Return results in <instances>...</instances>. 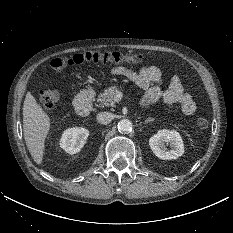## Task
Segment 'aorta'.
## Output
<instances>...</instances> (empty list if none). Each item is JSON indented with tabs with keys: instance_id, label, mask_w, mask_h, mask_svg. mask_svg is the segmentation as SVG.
<instances>
[{
	"instance_id": "762f6f07",
	"label": "aorta",
	"mask_w": 233,
	"mask_h": 233,
	"mask_svg": "<svg viewBox=\"0 0 233 233\" xmlns=\"http://www.w3.org/2000/svg\"><path fill=\"white\" fill-rule=\"evenodd\" d=\"M133 123L128 119H123L118 123V130L120 133H129L132 131Z\"/></svg>"
}]
</instances>
